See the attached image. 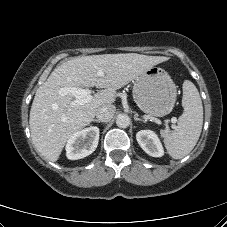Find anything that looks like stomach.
Instances as JSON below:
<instances>
[{
	"label": "stomach",
	"instance_id": "1",
	"mask_svg": "<svg viewBox=\"0 0 227 227\" xmlns=\"http://www.w3.org/2000/svg\"><path fill=\"white\" fill-rule=\"evenodd\" d=\"M176 97V85L160 67L153 66L136 78L133 98L144 113L156 117L166 116L173 110Z\"/></svg>",
	"mask_w": 227,
	"mask_h": 227
}]
</instances>
